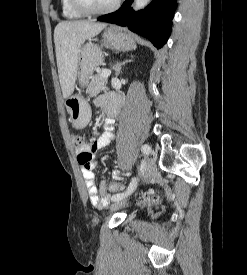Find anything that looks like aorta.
Instances as JSON below:
<instances>
[{
  "instance_id": "aorta-1",
  "label": "aorta",
  "mask_w": 247,
  "mask_h": 275,
  "mask_svg": "<svg viewBox=\"0 0 247 275\" xmlns=\"http://www.w3.org/2000/svg\"><path fill=\"white\" fill-rule=\"evenodd\" d=\"M151 0H134V10L143 9Z\"/></svg>"
}]
</instances>
